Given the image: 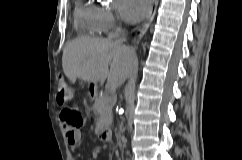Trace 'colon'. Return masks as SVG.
Wrapping results in <instances>:
<instances>
[{"mask_svg":"<svg viewBox=\"0 0 242 160\" xmlns=\"http://www.w3.org/2000/svg\"><path fill=\"white\" fill-rule=\"evenodd\" d=\"M71 89L67 82L60 78L57 85L56 101L60 106L66 105L71 100ZM62 115L66 121L74 128L82 125L83 119L79 110L74 107H67L63 110Z\"/></svg>","mask_w":242,"mask_h":160,"instance_id":"5ec220e1","label":"colon"}]
</instances>
